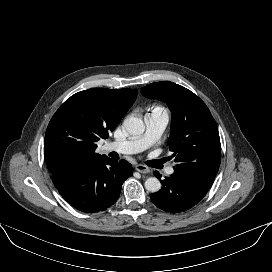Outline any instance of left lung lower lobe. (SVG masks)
Returning a JSON list of instances; mask_svg holds the SVG:
<instances>
[{
	"label": "left lung lower lobe",
	"mask_w": 272,
	"mask_h": 272,
	"mask_svg": "<svg viewBox=\"0 0 272 272\" xmlns=\"http://www.w3.org/2000/svg\"><path fill=\"white\" fill-rule=\"evenodd\" d=\"M154 175L161 178L157 171L154 172ZM161 183V190L151 195L152 202L164 211L180 213L199 203L212 182L181 170H175L171 176L161 180Z\"/></svg>",
	"instance_id": "1"
}]
</instances>
